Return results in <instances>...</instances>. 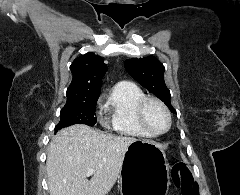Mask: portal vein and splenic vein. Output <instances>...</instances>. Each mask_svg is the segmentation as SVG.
I'll list each match as a JSON object with an SVG mask.
<instances>
[{
  "label": "portal vein and splenic vein",
  "instance_id": "18ae733b",
  "mask_svg": "<svg viewBox=\"0 0 240 195\" xmlns=\"http://www.w3.org/2000/svg\"><path fill=\"white\" fill-rule=\"evenodd\" d=\"M92 173H94V169H93V167H90V169H88V171L86 173L87 177H89V175H92Z\"/></svg>",
  "mask_w": 240,
  "mask_h": 195
}]
</instances>
